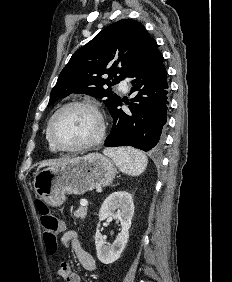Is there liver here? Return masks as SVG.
<instances>
[{
	"instance_id": "6515ba94",
	"label": "liver",
	"mask_w": 232,
	"mask_h": 282,
	"mask_svg": "<svg viewBox=\"0 0 232 282\" xmlns=\"http://www.w3.org/2000/svg\"><path fill=\"white\" fill-rule=\"evenodd\" d=\"M65 160V159H64ZM64 160H61V161H45L43 163H41L38 167V170L42 167H45V166H53V165H56Z\"/></svg>"
}]
</instances>
